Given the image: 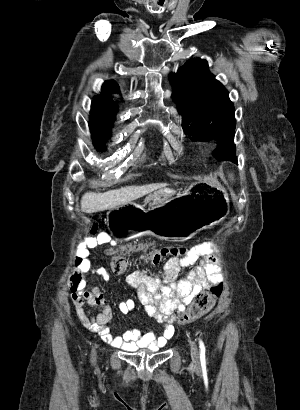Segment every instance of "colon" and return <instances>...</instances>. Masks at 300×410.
<instances>
[{
    "instance_id": "obj_1",
    "label": "colon",
    "mask_w": 300,
    "mask_h": 410,
    "mask_svg": "<svg viewBox=\"0 0 300 410\" xmlns=\"http://www.w3.org/2000/svg\"><path fill=\"white\" fill-rule=\"evenodd\" d=\"M189 249L181 245H168L154 249L147 255V260L152 265H159L166 257H185L189 254ZM111 269L115 273H124L130 266L128 257L120 254L112 255L110 262ZM82 275L74 272L70 278V289L76 292L82 285ZM223 291V284L216 283L208 291L197 293L191 305L177 316L178 324H186L205 315L213 307L215 300L219 298Z\"/></svg>"
}]
</instances>
